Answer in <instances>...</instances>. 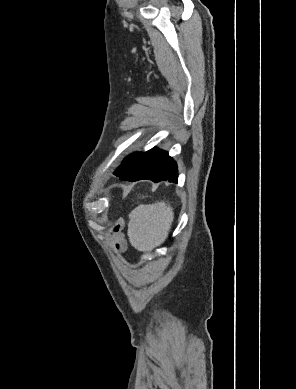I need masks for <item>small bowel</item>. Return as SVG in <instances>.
I'll return each instance as SVG.
<instances>
[{
	"instance_id": "1",
	"label": "small bowel",
	"mask_w": 296,
	"mask_h": 389,
	"mask_svg": "<svg viewBox=\"0 0 296 389\" xmlns=\"http://www.w3.org/2000/svg\"><path fill=\"white\" fill-rule=\"evenodd\" d=\"M120 224H116L113 227V235L111 237V241L114 243L117 250H122L124 247L123 239L119 234Z\"/></svg>"
}]
</instances>
